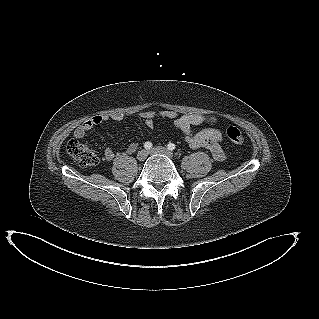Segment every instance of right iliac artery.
Instances as JSON below:
<instances>
[{
    "label": "right iliac artery",
    "mask_w": 319,
    "mask_h": 319,
    "mask_svg": "<svg viewBox=\"0 0 319 319\" xmlns=\"http://www.w3.org/2000/svg\"><path fill=\"white\" fill-rule=\"evenodd\" d=\"M144 148L146 149V150H149L150 148H152V143L151 142H145L144 143Z\"/></svg>",
    "instance_id": "right-iliac-artery-1"
}]
</instances>
